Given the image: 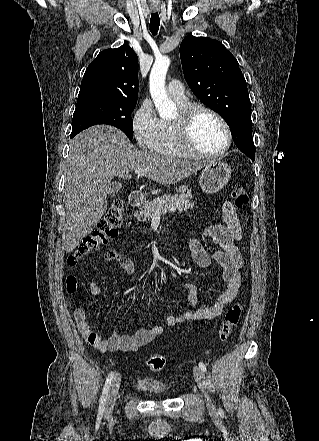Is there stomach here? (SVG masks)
Here are the masks:
<instances>
[{
    "label": "stomach",
    "instance_id": "0dacf381",
    "mask_svg": "<svg viewBox=\"0 0 319 441\" xmlns=\"http://www.w3.org/2000/svg\"><path fill=\"white\" fill-rule=\"evenodd\" d=\"M231 177V167L223 162L212 160L205 166L200 176L199 185L206 193H216L223 189ZM188 186L183 185L175 189V195L184 194Z\"/></svg>",
    "mask_w": 319,
    "mask_h": 441
}]
</instances>
